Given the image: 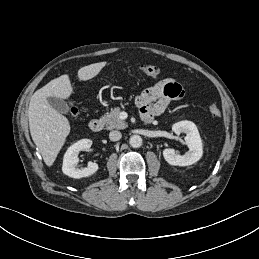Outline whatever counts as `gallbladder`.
<instances>
[{
	"label": "gallbladder",
	"mask_w": 259,
	"mask_h": 259,
	"mask_svg": "<svg viewBox=\"0 0 259 259\" xmlns=\"http://www.w3.org/2000/svg\"><path fill=\"white\" fill-rule=\"evenodd\" d=\"M47 100H48L50 106L52 108H54L56 111H58L62 114L69 113V106L64 100H62L60 98H56V97H48Z\"/></svg>",
	"instance_id": "bac80fb5"
}]
</instances>
